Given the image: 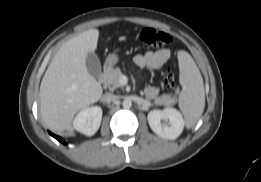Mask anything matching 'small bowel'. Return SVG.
<instances>
[{"instance_id": "1", "label": "small bowel", "mask_w": 261, "mask_h": 182, "mask_svg": "<svg viewBox=\"0 0 261 182\" xmlns=\"http://www.w3.org/2000/svg\"><path fill=\"white\" fill-rule=\"evenodd\" d=\"M171 57L172 54L169 49H160L138 54L134 57V62L140 68L156 69L168 62ZM144 93L147 98L155 99L158 95V88L148 86L145 88Z\"/></svg>"}]
</instances>
